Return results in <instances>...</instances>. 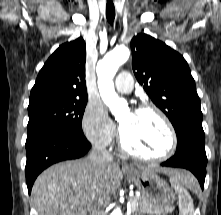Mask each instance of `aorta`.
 Masks as SVG:
<instances>
[{
	"label": "aorta",
	"mask_w": 221,
	"mask_h": 215,
	"mask_svg": "<svg viewBox=\"0 0 221 215\" xmlns=\"http://www.w3.org/2000/svg\"><path fill=\"white\" fill-rule=\"evenodd\" d=\"M130 57V50L125 46H118L107 53L97 63L98 88L104 103L112 112L118 111L121 106H126L125 100L120 99L115 92L113 78L118 68ZM110 215H122L120 208H115Z\"/></svg>",
	"instance_id": "762f6f07"
}]
</instances>
